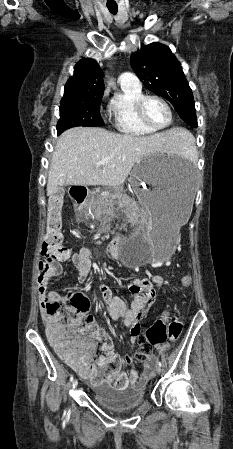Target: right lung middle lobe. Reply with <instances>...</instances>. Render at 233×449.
I'll list each match as a JSON object with an SVG mask.
<instances>
[{
	"instance_id": "dd1d6c3e",
	"label": "right lung middle lobe",
	"mask_w": 233,
	"mask_h": 449,
	"mask_svg": "<svg viewBox=\"0 0 233 449\" xmlns=\"http://www.w3.org/2000/svg\"><path fill=\"white\" fill-rule=\"evenodd\" d=\"M102 96L103 93L64 96L59 108L58 133L75 126H103L99 112Z\"/></svg>"
}]
</instances>
